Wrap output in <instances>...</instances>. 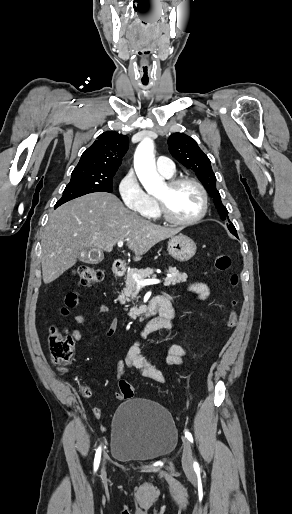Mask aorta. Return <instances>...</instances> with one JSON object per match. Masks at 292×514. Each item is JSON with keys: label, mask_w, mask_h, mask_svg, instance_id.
<instances>
[{"label": "aorta", "mask_w": 292, "mask_h": 514, "mask_svg": "<svg viewBox=\"0 0 292 514\" xmlns=\"http://www.w3.org/2000/svg\"><path fill=\"white\" fill-rule=\"evenodd\" d=\"M153 150L152 140H143L139 144L134 158V168L138 180H140L146 192L152 194V196L164 184L163 178H160L155 170Z\"/></svg>", "instance_id": "aorta-1"}]
</instances>
